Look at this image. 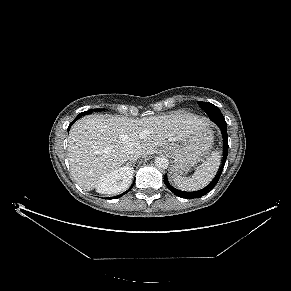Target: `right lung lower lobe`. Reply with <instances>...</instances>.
Segmentation results:
<instances>
[{
	"mask_svg": "<svg viewBox=\"0 0 291 291\" xmlns=\"http://www.w3.org/2000/svg\"><path fill=\"white\" fill-rule=\"evenodd\" d=\"M76 120H77V119H75L74 122H75ZM72 123H73V122H72ZM72 123L70 124V126L72 125ZM70 126H69V128H70ZM69 128H68V130H69ZM131 188H132V187H131ZM122 195H123V194L117 196V198H118V197H121Z\"/></svg>",
	"mask_w": 291,
	"mask_h": 291,
	"instance_id": "1",
	"label": "right lung lower lobe"
}]
</instances>
